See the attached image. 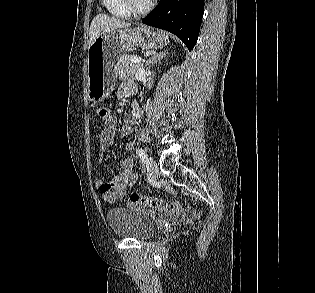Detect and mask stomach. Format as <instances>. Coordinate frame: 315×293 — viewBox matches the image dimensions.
Returning <instances> with one entry per match:
<instances>
[{
  "label": "stomach",
  "instance_id": "0dacf381",
  "mask_svg": "<svg viewBox=\"0 0 315 293\" xmlns=\"http://www.w3.org/2000/svg\"><path fill=\"white\" fill-rule=\"evenodd\" d=\"M168 37L147 26L124 30L114 29L96 37L88 49L87 92L93 102L105 99L113 91L120 59L134 46L160 49L167 45Z\"/></svg>",
  "mask_w": 315,
  "mask_h": 293
}]
</instances>
